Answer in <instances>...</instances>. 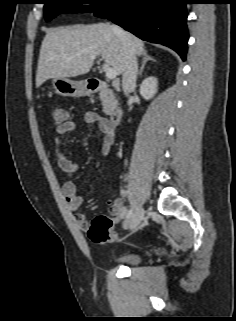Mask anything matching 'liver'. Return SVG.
<instances>
[{
    "instance_id": "1",
    "label": "liver",
    "mask_w": 236,
    "mask_h": 321,
    "mask_svg": "<svg viewBox=\"0 0 236 321\" xmlns=\"http://www.w3.org/2000/svg\"><path fill=\"white\" fill-rule=\"evenodd\" d=\"M127 35L136 55L146 53L142 40L131 33ZM99 55L106 66H112L119 75L123 74V45L109 24L76 25L48 30L40 48L36 87H40L48 79L71 78L88 73L95 60L91 58Z\"/></svg>"
}]
</instances>
